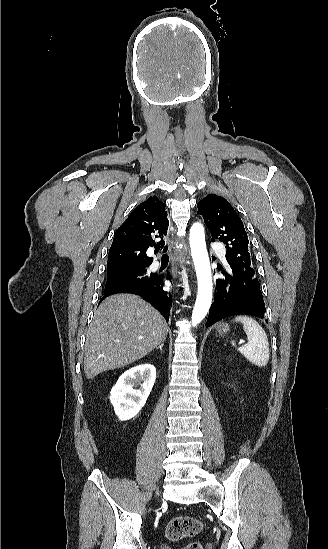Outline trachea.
Listing matches in <instances>:
<instances>
[{"label":"trachea","mask_w":328,"mask_h":549,"mask_svg":"<svg viewBox=\"0 0 328 549\" xmlns=\"http://www.w3.org/2000/svg\"><path fill=\"white\" fill-rule=\"evenodd\" d=\"M155 248H156V249H159V248H160V245H156Z\"/></svg>","instance_id":"obj_1"}]
</instances>
